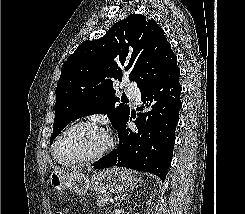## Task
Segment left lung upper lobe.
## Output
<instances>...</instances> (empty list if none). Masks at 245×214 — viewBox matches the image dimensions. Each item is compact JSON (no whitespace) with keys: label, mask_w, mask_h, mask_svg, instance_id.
I'll list each match as a JSON object with an SVG mask.
<instances>
[{"label":"left lung upper lobe","mask_w":245,"mask_h":214,"mask_svg":"<svg viewBox=\"0 0 245 214\" xmlns=\"http://www.w3.org/2000/svg\"><path fill=\"white\" fill-rule=\"evenodd\" d=\"M176 60L163 29L141 14L116 22L98 40L82 42L62 66L51 143L71 121L95 113L106 114L119 133L130 109L118 105L113 79L129 75L143 91L162 79Z\"/></svg>","instance_id":"5c2ea615"}]
</instances>
